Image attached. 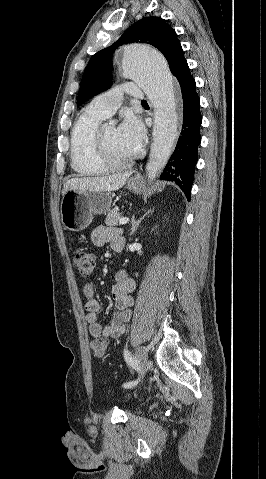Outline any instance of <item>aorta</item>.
<instances>
[{"label": "aorta", "instance_id": "1", "mask_svg": "<svg viewBox=\"0 0 266 479\" xmlns=\"http://www.w3.org/2000/svg\"><path fill=\"white\" fill-rule=\"evenodd\" d=\"M123 76L136 82L154 108V126L148 178L153 180L166 166L177 137L178 114L174 79L164 57L144 44L124 47L121 55Z\"/></svg>", "mask_w": 266, "mask_h": 479}]
</instances>
